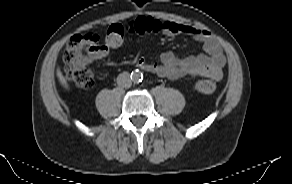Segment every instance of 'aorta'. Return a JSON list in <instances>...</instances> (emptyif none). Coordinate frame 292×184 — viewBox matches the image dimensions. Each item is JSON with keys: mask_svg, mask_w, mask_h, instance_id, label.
I'll use <instances>...</instances> for the list:
<instances>
[{"mask_svg": "<svg viewBox=\"0 0 292 184\" xmlns=\"http://www.w3.org/2000/svg\"><path fill=\"white\" fill-rule=\"evenodd\" d=\"M131 79L134 81V82H139L141 79H142V74L140 72H134L132 73L131 75Z\"/></svg>", "mask_w": 292, "mask_h": 184, "instance_id": "obj_1", "label": "aorta"}]
</instances>
